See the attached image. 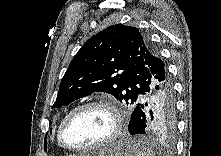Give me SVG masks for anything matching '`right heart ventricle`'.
<instances>
[{"instance_id":"1","label":"right heart ventricle","mask_w":221,"mask_h":156,"mask_svg":"<svg viewBox=\"0 0 221 156\" xmlns=\"http://www.w3.org/2000/svg\"><path fill=\"white\" fill-rule=\"evenodd\" d=\"M62 120H63V119H62ZM61 122H62V121H61ZM61 122H60V124H61ZM60 124H59V126H58V128H57V134H56V139H57V143H58L59 146H61L60 143H59V141H58V131H59Z\"/></svg>"}]
</instances>
